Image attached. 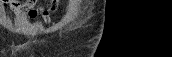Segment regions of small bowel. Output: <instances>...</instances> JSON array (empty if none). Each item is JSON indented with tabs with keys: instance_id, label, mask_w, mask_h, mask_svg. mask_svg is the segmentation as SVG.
<instances>
[{
	"instance_id": "1",
	"label": "small bowel",
	"mask_w": 172,
	"mask_h": 57,
	"mask_svg": "<svg viewBox=\"0 0 172 57\" xmlns=\"http://www.w3.org/2000/svg\"><path fill=\"white\" fill-rule=\"evenodd\" d=\"M37 1L31 0V1H26L24 4L20 3L19 1H6L5 6H9L11 9L18 11L22 6H28V5H34ZM55 8V4L51 6V10ZM49 15V12L47 10L41 11V16L47 17ZM37 16V13L31 14V18H35Z\"/></svg>"
}]
</instances>
